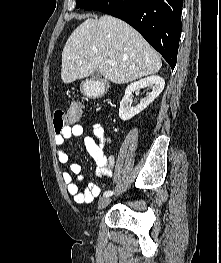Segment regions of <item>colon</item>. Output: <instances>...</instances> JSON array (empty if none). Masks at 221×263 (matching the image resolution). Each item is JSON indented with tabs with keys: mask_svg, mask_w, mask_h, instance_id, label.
<instances>
[{
	"mask_svg": "<svg viewBox=\"0 0 221 263\" xmlns=\"http://www.w3.org/2000/svg\"><path fill=\"white\" fill-rule=\"evenodd\" d=\"M83 110L84 107L81 103L73 102L67 111H55L53 118L55 134H61L65 128L76 122L81 117Z\"/></svg>",
	"mask_w": 221,
	"mask_h": 263,
	"instance_id": "1",
	"label": "colon"
}]
</instances>
